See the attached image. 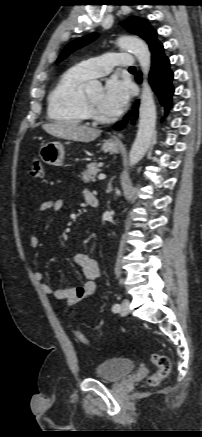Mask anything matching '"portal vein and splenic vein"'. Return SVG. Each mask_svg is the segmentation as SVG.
<instances>
[{
  "mask_svg": "<svg viewBox=\"0 0 202 437\" xmlns=\"http://www.w3.org/2000/svg\"><path fill=\"white\" fill-rule=\"evenodd\" d=\"M106 178V175L105 174H100L99 176H98V179L99 180H103V179H105Z\"/></svg>",
  "mask_w": 202,
  "mask_h": 437,
  "instance_id": "obj_1",
  "label": "portal vein and splenic vein"
}]
</instances>
